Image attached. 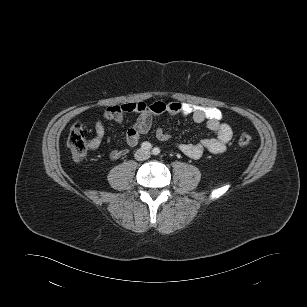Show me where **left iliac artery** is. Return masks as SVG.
Segmentation results:
<instances>
[{"label":"left iliac artery","instance_id":"left-iliac-artery-1","mask_svg":"<svg viewBox=\"0 0 307 307\" xmlns=\"http://www.w3.org/2000/svg\"><path fill=\"white\" fill-rule=\"evenodd\" d=\"M152 153L154 155H158L160 153V149L158 147L153 148Z\"/></svg>","mask_w":307,"mask_h":307}]
</instances>
